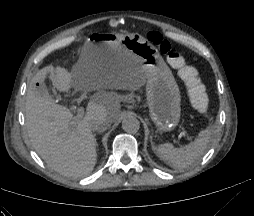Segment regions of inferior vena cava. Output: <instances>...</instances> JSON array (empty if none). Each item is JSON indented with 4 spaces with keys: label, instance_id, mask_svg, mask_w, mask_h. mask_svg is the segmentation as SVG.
<instances>
[{
    "label": "inferior vena cava",
    "instance_id": "obj_1",
    "mask_svg": "<svg viewBox=\"0 0 254 216\" xmlns=\"http://www.w3.org/2000/svg\"><path fill=\"white\" fill-rule=\"evenodd\" d=\"M110 126V122L105 117H98L90 122V128L92 131L103 132Z\"/></svg>",
    "mask_w": 254,
    "mask_h": 216
}]
</instances>
